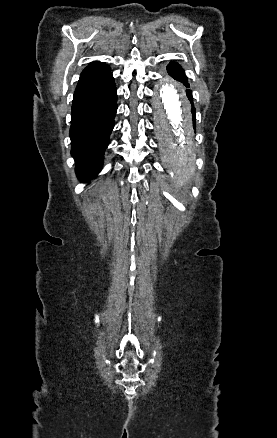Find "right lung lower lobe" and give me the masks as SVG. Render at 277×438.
<instances>
[{
  "label": "right lung lower lobe",
  "mask_w": 277,
  "mask_h": 438,
  "mask_svg": "<svg viewBox=\"0 0 277 438\" xmlns=\"http://www.w3.org/2000/svg\"><path fill=\"white\" fill-rule=\"evenodd\" d=\"M116 111L117 91L110 70L78 82L70 138L76 173L83 181L94 178L102 168Z\"/></svg>",
  "instance_id": "98d812e1"
}]
</instances>
